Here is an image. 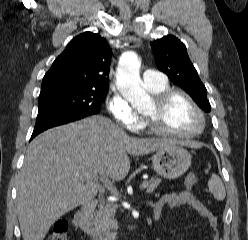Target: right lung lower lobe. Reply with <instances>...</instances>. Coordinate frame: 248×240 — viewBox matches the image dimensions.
Here are the masks:
<instances>
[{
  "mask_svg": "<svg viewBox=\"0 0 248 240\" xmlns=\"http://www.w3.org/2000/svg\"><path fill=\"white\" fill-rule=\"evenodd\" d=\"M86 117L85 115H70V114H59V113H49V114H38L36 119V124L34 131L32 133L31 139L36 135L47 130L49 128L73 122ZM30 139V140H31Z\"/></svg>",
  "mask_w": 248,
  "mask_h": 240,
  "instance_id": "obj_1",
  "label": "right lung lower lobe"
}]
</instances>
